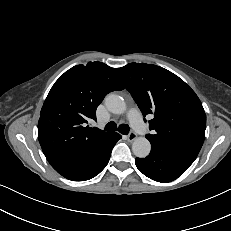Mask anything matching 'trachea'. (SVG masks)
<instances>
[{
    "mask_svg": "<svg viewBox=\"0 0 231 231\" xmlns=\"http://www.w3.org/2000/svg\"><path fill=\"white\" fill-rule=\"evenodd\" d=\"M106 131H116L117 125L115 122L111 121L105 126ZM118 131L124 135H127L130 131V127L127 124H121L118 127Z\"/></svg>",
    "mask_w": 231,
    "mask_h": 231,
    "instance_id": "3493384b",
    "label": "trachea"
}]
</instances>
